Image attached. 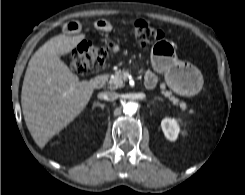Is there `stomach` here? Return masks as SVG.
<instances>
[{"mask_svg":"<svg viewBox=\"0 0 245 195\" xmlns=\"http://www.w3.org/2000/svg\"><path fill=\"white\" fill-rule=\"evenodd\" d=\"M151 64L155 71L164 74L167 85L179 95L194 96L202 89L200 71L178 60L174 45L166 40H160L152 46Z\"/></svg>","mask_w":245,"mask_h":195,"instance_id":"obj_1","label":"stomach"}]
</instances>
